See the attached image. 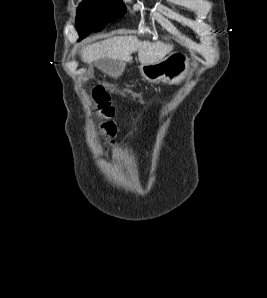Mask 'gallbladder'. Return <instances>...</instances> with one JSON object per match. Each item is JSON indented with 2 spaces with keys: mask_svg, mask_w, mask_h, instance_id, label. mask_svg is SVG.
Instances as JSON below:
<instances>
[{
  "mask_svg": "<svg viewBox=\"0 0 267 298\" xmlns=\"http://www.w3.org/2000/svg\"><path fill=\"white\" fill-rule=\"evenodd\" d=\"M95 65L104 72H111L115 70L121 63L116 62L113 59H100L95 62ZM91 71V70H90Z\"/></svg>",
  "mask_w": 267,
  "mask_h": 298,
  "instance_id": "bac80fb5",
  "label": "gallbladder"
}]
</instances>
